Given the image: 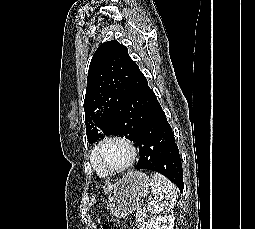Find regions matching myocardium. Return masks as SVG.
Instances as JSON below:
<instances>
[{
  "mask_svg": "<svg viewBox=\"0 0 255 229\" xmlns=\"http://www.w3.org/2000/svg\"><path fill=\"white\" fill-rule=\"evenodd\" d=\"M109 142H119L128 148L130 152V157H129V160L124 165L117 168H110L103 165L100 162L98 158V153L101 150V148ZM136 158H137V149L134 143L130 139L125 137L124 135H120V134H111V135L105 136L104 138H102L101 140L97 142V144L94 146L91 153L92 164L101 167L108 175H114V174H118V173L126 171L133 165Z\"/></svg>",
  "mask_w": 255,
  "mask_h": 229,
  "instance_id": "1",
  "label": "myocardium"
}]
</instances>
